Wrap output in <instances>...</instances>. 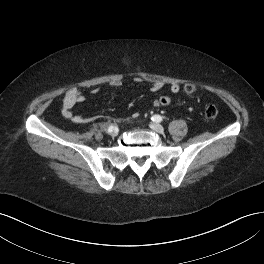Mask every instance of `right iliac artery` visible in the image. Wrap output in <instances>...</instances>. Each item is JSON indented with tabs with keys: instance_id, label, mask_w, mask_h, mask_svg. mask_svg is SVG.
<instances>
[{
	"instance_id": "obj_1",
	"label": "right iliac artery",
	"mask_w": 264,
	"mask_h": 264,
	"mask_svg": "<svg viewBox=\"0 0 264 264\" xmlns=\"http://www.w3.org/2000/svg\"><path fill=\"white\" fill-rule=\"evenodd\" d=\"M113 130H114V126L113 125L108 126L107 131L109 133L112 132Z\"/></svg>"
}]
</instances>
